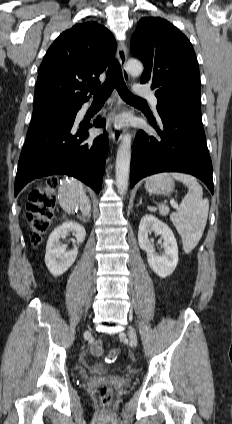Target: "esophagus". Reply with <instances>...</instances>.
<instances>
[{"label": "esophagus", "instance_id": "esophagus-1", "mask_svg": "<svg viewBox=\"0 0 232 424\" xmlns=\"http://www.w3.org/2000/svg\"><path fill=\"white\" fill-rule=\"evenodd\" d=\"M117 57L121 66L123 78L126 82H129L130 76L126 69L127 49L123 41L118 42ZM114 102H115V111L117 112L122 108L123 102L117 94L115 95ZM110 137L115 143H119L122 138L121 130L119 128L111 129Z\"/></svg>", "mask_w": 232, "mask_h": 424}]
</instances>
